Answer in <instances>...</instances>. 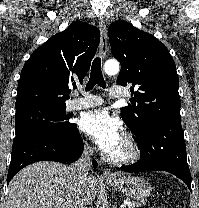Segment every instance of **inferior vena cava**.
Listing matches in <instances>:
<instances>
[{
    "mask_svg": "<svg viewBox=\"0 0 199 208\" xmlns=\"http://www.w3.org/2000/svg\"><path fill=\"white\" fill-rule=\"evenodd\" d=\"M93 149L89 145L85 148L81 158L72 165V170L76 173L77 177L84 178L88 175V171L91 169V156ZM76 208H85L83 203H78Z\"/></svg>",
    "mask_w": 199,
    "mask_h": 208,
    "instance_id": "obj_1",
    "label": "inferior vena cava"
}]
</instances>
